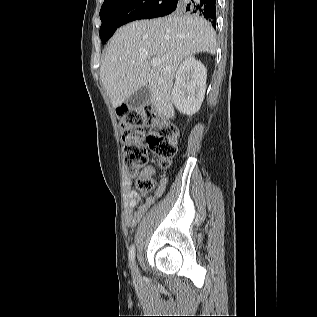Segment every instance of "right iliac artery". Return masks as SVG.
<instances>
[{
	"label": "right iliac artery",
	"instance_id": "obj_1",
	"mask_svg": "<svg viewBox=\"0 0 317 317\" xmlns=\"http://www.w3.org/2000/svg\"><path fill=\"white\" fill-rule=\"evenodd\" d=\"M134 258H135V247L134 245H132L130 248H129V260L130 262H134Z\"/></svg>",
	"mask_w": 317,
	"mask_h": 317
}]
</instances>
